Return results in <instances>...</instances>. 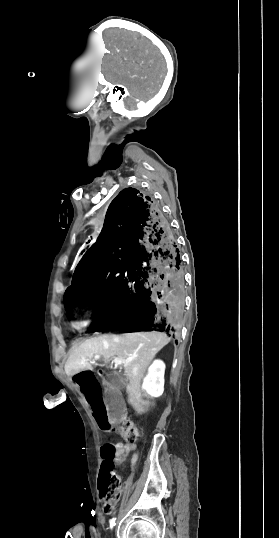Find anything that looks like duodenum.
Returning a JSON list of instances; mask_svg holds the SVG:
<instances>
[{
	"label": "duodenum",
	"instance_id": "duodenum-1",
	"mask_svg": "<svg viewBox=\"0 0 279 538\" xmlns=\"http://www.w3.org/2000/svg\"><path fill=\"white\" fill-rule=\"evenodd\" d=\"M95 376H96V378L99 379V380L104 379L105 376H106L105 369H104V368H99V369L96 371ZM132 409H135V406H132Z\"/></svg>",
	"mask_w": 279,
	"mask_h": 538
}]
</instances>
